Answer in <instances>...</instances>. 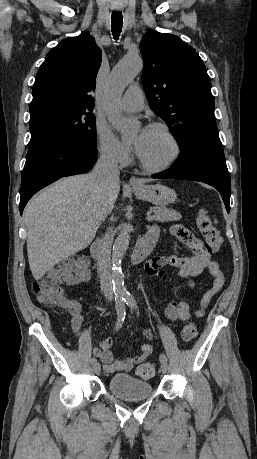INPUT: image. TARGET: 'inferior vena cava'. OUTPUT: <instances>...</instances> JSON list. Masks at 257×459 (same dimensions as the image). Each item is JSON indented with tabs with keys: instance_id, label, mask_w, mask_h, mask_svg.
Segmentation results:
<instances>
[{
	"instance_id": "obj_1",
	"label": "inferior vena cava",
	"mask_w": 257,
	"mask_h": 459,
	"mask_svg": "<svg viewBox=\"0 0 257 459\" xmlns=\"http://www.w3.org/2000/svg\"><path fill=\"white\" fill-rule=\"evenodd\" d=\"M118 159L112 151H102L99 160L92 172V176L98 186L103 191H110L115 188L119 182ZM107 218L106 213L99 217L100 222ZM111 230L102 236L97 243V264L98 276L100 278V287L105 298L108 301L113 299L112 282H111Z\"/></svg>"
}]
</instances>
